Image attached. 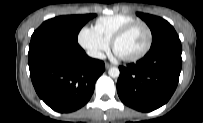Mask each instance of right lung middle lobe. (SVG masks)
Here are the masks:
<instances>
[{"label":"right lung middle lobe","mask_w":203,"mask_h":123,"mask_svg":"<svg viewBox=\"0 0 203 123\" xmlns=\"http://www.w3.org/2000/svg\"><path fill=\"white\" fill-rule=\"evenodd\" d=\"M94 16L95 14L55 17L45 21L36 29L32 34L31 39L46 37L77 43L79 31Z\"/></svg>","instance_id":"obj_1"}]
</instances>
